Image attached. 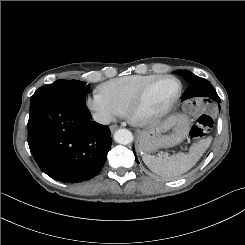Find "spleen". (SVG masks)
<instances>
[{"label":"spleen","mask_w":245,"mask_h":245,"mask_svg":"<svg viewBox=\"0 0 245 245\" xmlns=\"http://www.w3.org/2000/svg\"><path fill=\"white\" fill-rule=\"evenodd\" d=\"M207 147V140H201L193 144L187 154L182 152L172 156L144 154L142 159L153 173L164 179L173 180L189 171L199 161Z\"/></svg>","instance_id":"3e777b00"}]
</instances>
